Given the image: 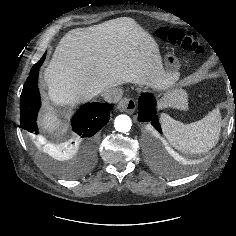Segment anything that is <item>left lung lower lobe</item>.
Returning a JSON list of instances; mask_svg holds the SVG:
<instances>
[{
	"label": "left lung lower lobe",
	"mask_w": 236,
	"mask_h": 236,
	"mask_svg": "<svg viewBox=\"0 0 236 236\" xmlns=\"http://www.w3.org/2000/svg\"><path fill=\"white\" fill-rule=\"evenodd\" d=\"M138 120L152 125L159 133H162L156 114V101L152 94L143 93L138 102Z\"/></svg>",
	"instance_id": "0a47b994"
}]
</instances>
